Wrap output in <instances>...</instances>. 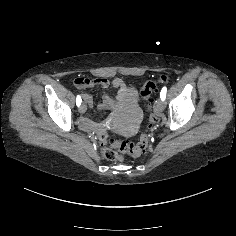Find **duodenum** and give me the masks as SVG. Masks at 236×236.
<instances>
[{
    "instance_id": "410a0bca",
    "label": "duodenum",
    "mask_w": 236,
    "mask_h": 236,
    "mask_svg": "<svg viewBox=\"0 0 236 236\" xmlns=\"http://www.w3.org/2000/svg\"><path fill=\"white\" fill-rule=\"evenodd\" d=\"M121 90L119 91V94L117 95V101H113L110 98L104 99L103 106L108 109H117L120 107L125 106L127 103L131 101L132 92L127 89L123 84H121ZM88 102H90L88 100ZM82 126L87 130H94L99 127V124L94 123L91 120L88 119H82L81 121Z\"/></svg>"
}]
</instances>
